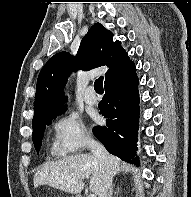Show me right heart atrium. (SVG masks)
Returning <instances> with one entry per match:
<instances>
[{"label": "right heart atrium", "mask_w": 191, "mask_h": 197, "mask_svg": "<svg viewBox=\"0 0 191 197\" xmlns=\"http://www.w3.org/2000/svg\"><path fill=\"white\" fill-rule=\"evenodd\" d=\"M52 151L56 156H65L84 149L90 136L80 116L68 112L58 117L52 126Z\"/></svg>", "instance_id": "right-heart-atrium-1"}]
</instances>
